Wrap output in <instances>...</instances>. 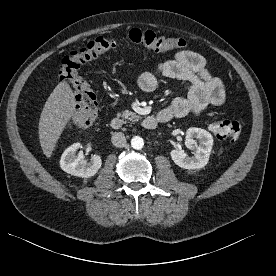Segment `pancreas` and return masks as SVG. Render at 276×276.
Segmentation results:
<instances>
[{
  "label": "pancreas",
  "instance_id": "cf45deb5",
  "mask_svg": "<svg viewBox=\"0 0 276 276\" xmlns=\"http://www.w3.org/2000/svg\"><path fill=\"white\" fill-rule=\"evenodd\" d=\"M118 116H121L123 119L129 120V121H138L139 119H141L140 116H138L136 113L129 110L123 111L122 114L119 113Z\"/></svg>",
  "mask_w": 276,
  "mask_h": 276
}]
</instances>
